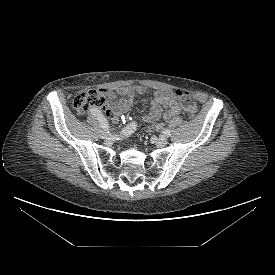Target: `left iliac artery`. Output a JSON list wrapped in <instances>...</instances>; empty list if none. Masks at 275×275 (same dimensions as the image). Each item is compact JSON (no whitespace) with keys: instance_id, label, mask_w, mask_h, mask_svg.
I'll use <instances>...</instances> for the list:
<instances>
[{"instance_id":"1","label":"left iliac artery","mask_w":275,"mask_h":275,"mask_svg":"<svg viewBox=\"0 0 275 275\" xmlns=\"http://www.w3.org/2000/svg\"><path fill=\"white\" fill-rule=\"evenodd\" d=\"M162 134H163V136H165V137H169L170 134H171V132H170L169 129H164V130L162 131Z\"/></svg>"}]
</instances>
